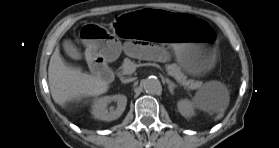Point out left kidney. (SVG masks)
<instances>
[{
    "mask_svg": "<svg viewBox=\"0 0 279 148\" xmlns=\"http://www.w3.org/2000/svg\"><path fill=\"white\" fill-rule=\"evenodd\" d=\"M177 107L182 116L185 118H190L194 115V108H203V105L201 103H193L187 99H184L178 102Z\"/></svg>",
    "mask_w": 279,
    "mask_h": 148,
    "instance_id": "obj_1",
    "label": "left kidney"
}]
</instances>
